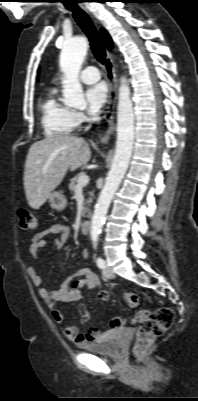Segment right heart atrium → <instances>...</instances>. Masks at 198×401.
<instances>
[{
    "mask_svg": "<svg viewBox=\"0 0 198 401\" xmlns=\"http://www.w3.org/2000/svg\"><path fill=\"white\" fill-rule=\"evenodd\" d=\"M74 115L77 125L81 124L85 120V115L82 112H74Z\"/></svg>",
    "mask_w": 198,
    "mask_h": 401,
    "instance_id": "right-heart-atrium-1",
    "label": "right heart atrium"
}]
</instances>
